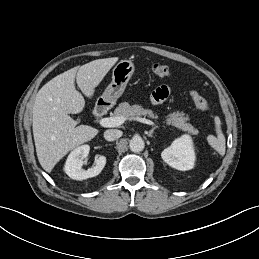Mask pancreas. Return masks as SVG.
Returning a JSON list of instances; mask_svg holds the SVG:
<instances>
[{
	"mask_svg": "<svg viewBox=\"0 0 259 259\" xmlns=\"http://www.w3.org/2000/svg\"><path fill=\"white\" fill-rule=\"evenodd\" d=\"M114 114L116 116H123L126 120H132L133 118L139 116H148L152 119L157 118V115L152 110L144 109L141 105L138 104L130 105L127 102L120 103ZM187 120L188 117L185 116L184 113L177 111L170 113L167 116L165 123L167 125L177 127L182 131L196 134L197 130L190 123H187Z\"/></svg>",
	"mask_w": 259,
	"mask_h": 259,
	"instance_id": "cf45deb5",
	"label": "pancreas"
}]
</instances>
